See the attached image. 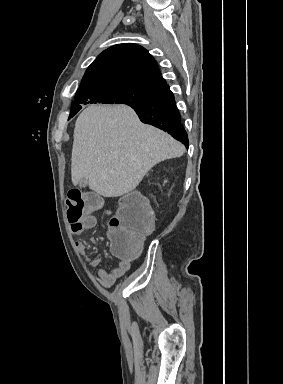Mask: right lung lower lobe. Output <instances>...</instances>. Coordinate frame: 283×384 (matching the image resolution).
I'll use <instances>...</instances> for the list:
<instances>
[{
  "mask_svg": "<svg viewBox=\"0 0 283 384\" xmlns=\"http://www.w3.org/2000/svg\"><path fill=\"white\" fill-rule=\"evenodd\" d=\"M129 106L135 110L143 123L168 132L188 148V136L181 122L173 93L167 84L163 85L148 103Z\"/></svg>",
  "mask_w": 283,
  "mask_h": 384,
  "instance_id": "98d812e1",
  "label": "right lung lower lobe"
}]
</instances>
